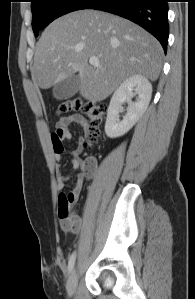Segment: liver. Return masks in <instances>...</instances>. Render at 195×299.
<instances>
[{
    "label": "liver",
    "instance_id": "1",
    "mask_svg": "<svg viewBox=\"0 0 195 299\" xmlns=\"http://www.w3.org/2000/svg\"><path fill=\"white\" fill-rule=\"evenodd\" d=\"M163 49L155 37L122 17L96 10H79L54 20L36 44L31 76L49 89L78 72L80 94L99 102L133 75L155 81ZM99 59L100 66L88 63Z\"/></svg>",
    "mask_w": 195,
    "mask_h": 299
}]
</instances>
